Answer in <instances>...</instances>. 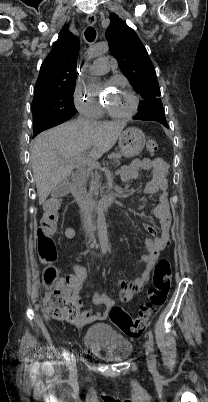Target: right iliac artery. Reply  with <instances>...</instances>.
Segmentation results:
<instances>
[{"mask_svg": "<svg viewBox=\"0 0 208 402\" xmlns=\"http://www.w3.org/2000/svg\"><path fill=\"white\" fill-rule=\"evenodd\" d=\"M63 356L66 360H68V352L64 349Z\"/></svg>", "mask_w": 208, "mask_h": 402, "instance_id": "obj_1", "label": "right iliac artery"}]
</instances>
